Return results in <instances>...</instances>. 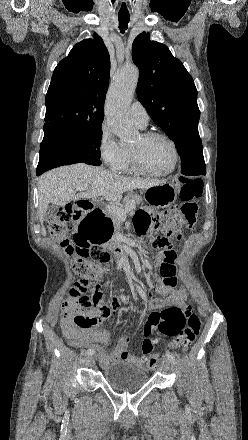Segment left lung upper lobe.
I'll list each match as a JSON object with an SVG mask.
<instances>
[{
	"label": "left lung upper lobe",
	"instance_id": "obj_1",
	"mask_svg": "<svg viewBox=\"0 0 248 440\" xmlns=\"http://www.w3.org/2000/svg\"><path fill=\"white\" fill-rule=\"evenodd\" d=\"M138 66L137 95L153 121L174 140L181 156V173L206 174L198 133L200 111L192 76L164 44L139 34L132 46Z\"/></svg>",
	"mask_w": 248,
	"mask_h": 440
}]
</instances>
